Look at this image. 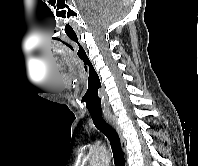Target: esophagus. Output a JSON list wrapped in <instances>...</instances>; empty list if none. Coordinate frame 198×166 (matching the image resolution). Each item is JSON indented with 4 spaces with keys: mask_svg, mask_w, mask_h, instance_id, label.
Instances as JSON below:
<instances>
[{
    "mask_svg": "<svg viewBox=\"0 0 198 166\" xmlns=\"http://www.w3.org/2000/svg\"><path fill=\"white\" fill-rule=\"evenodd\" d=\"M105 117V120L116 130V132L118 133L119 135V138H120V141H121V145H122V148L125 149L126 147V141H125V138L122 134V130L117 122V119L116 117L113 115V114H105L104 115Z\"/></svg>",
    "mask_w": 198,
    "mask_h": 166,
    "instance_id": "esophagus-1",
    "label": "esophagus"
}]
</instances>
